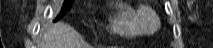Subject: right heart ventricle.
I'll return each instance as SVG.
<instances>
[{
	"instance_id": "right-heart-ventricle-1",
	"label": "right heart ventricle",
	"mask_w": 213,
	"mask_h": 48,
	"mask_svg": "<svg viewBox=\"0 0 213 48\" xmlns=\"http://www.w3.org/2000/svg\"><path fill=\"white\" fill-rule=\"evenodd\" d=\"M140 11L141 8L128 2L119 3L109 16V28L114 33L127 38L143 36L145 32L141 29L137 19Z\"/></svg>"
}]
</instances>
